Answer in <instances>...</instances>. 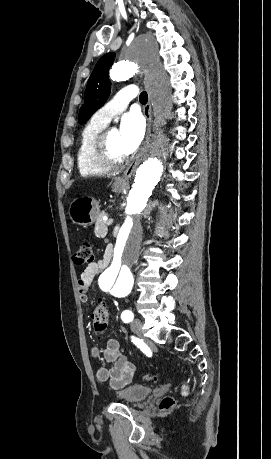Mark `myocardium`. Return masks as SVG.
Listing matches in <instances>:
<instances>
[{"label":"myocardium","mask_w":271,"mask_h":459,"mask_svg":"<svg viewBox=\"0 0 271 459\" xmlns=\"http://www.w3.org/2000/svg\"><path fill=\"white\" fill-rule=\"evenodd\" d=\"M112 128H105L92 140L89 148V157L93 163L116 166L127 158L128 153H116L109 145V134Z\"/></svg>","instance_id":"myocardium-1"}]
</instances>
